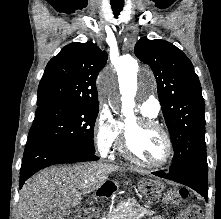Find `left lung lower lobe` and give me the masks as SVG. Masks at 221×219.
Listing matches in <instances>:
<instances>
[{
  "label": "left lung lower lobe",
  "instance_id": "left-lung-lower-lobe-1",
  "mask_svg": "<svg viewBox=\"0 0 221 219\" xmlns=\"http://www.w3.org/2000/svg\"><path fill=\"white\" fill-rule=\"evenodd\" d=\"M152 174L161 177L168 178L175 182L186 185L200 195H202L207 201L208 198V164L207 160L194 161L175 172L164 173L161 171L153 172Z\"/></svg>",
  "mask_w": 221,
  "mask_h": 219
}]
</instances>
